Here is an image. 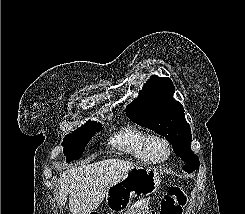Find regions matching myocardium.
<instances>
[{
	"mask_svg": "<svg viewBox=\"0 0 245 214\" xmlns=\"http://www.w3.org/2000/svg\"><path fill=\"white\" fill-rule=\"evenodd\" d=\"M153 141H160L166 147L167 154L164 158L154 159L151 157L149 149H150V145ZM144 151H145L146 157L150 163L158 164V163L165 162L170 157L171 152H172V147H171L170 142L168 141V139L165 136L160 135V134H149L147 136L145 142H144Z\"/></svg>",
	"mask_w": 245,
	"mask_h": 214,
	"instance_id": "f54148a6",
	"label": "myocardium"
}]
</instances>
